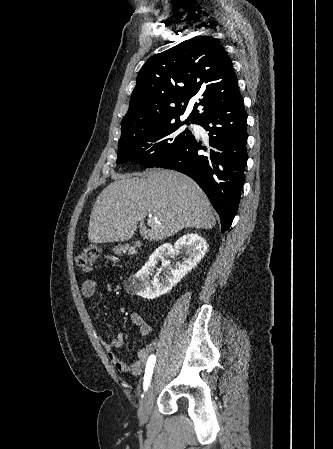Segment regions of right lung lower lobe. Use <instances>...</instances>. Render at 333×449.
I'll list each match as a JSON object with an SVG mask.
<instances>
[{"label":"right lung lower lobe","mask_w":333,"mask_h":449,"mask_svg":"<svg viewBox=\"0 0 333 449\" xmlns=\"http://www.w3.org/2000/svg\"><path fill=\"white\" fill-rule=\"evenodd\" d=\"M247 114L239 94L208 111L197 124L208 131L209 142L194 136L156 167L173 169L191 177L206 193L229 229L240 201L247 162Z\"/></svg>","instance_id":"1"}]
</instances>
